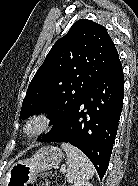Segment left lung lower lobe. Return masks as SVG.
<instances>
[{
	"label": "left lung lower lobe",
	"instance_id": "1",
	"mask_svg": "<svg viewBox=\"0 0 138 186\" xmlns=\"http://www.w3.org/2000/svg\"><path fill=\"white\" fill-rule=\"evenodd\" d=\"M124 77L120 60L89 90L63 125L40 142H66L80 149L100 179L107 170L123 107Z\"/></svg>",
	"mask_w": 138,
	"mask_h": 186
}]
</instances>
